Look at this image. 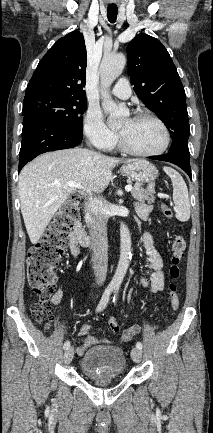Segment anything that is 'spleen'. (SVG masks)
<instances>
[{
    "instance_id": "1",
    "label": "spleen",
    "mask_w": 213,
    "mask_h": 433,
    "mask_svg": "<svg viewBox=\"0 0 213 433\" xmlns=\"http://www.w3.org/2000/svg\"><path fill=\"white\" fill-rule=\"evenodd\" d=\"M163 170L172 181L176 218L182 222L188 221L190 218V200L187 185L176 170L170 167H164Z\"/></svg>"
}]
</instances>
